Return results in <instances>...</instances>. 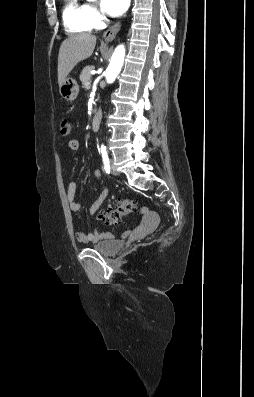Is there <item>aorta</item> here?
I'll return each instance as SVG.
<instances>
[{"label":"aorta","instance_id":"obj_1","mask_svg":"<svg viewBox=\"0 0 254 397\" xmlns=\"http://www.w3.org/2000/svg\"><path fill=\"white\" fill-rule=\"evenodd\" d=\"M88 1H95V0H88ZM125 57V48L123 45H119L111 58L110 64L106 70V80L108 83L113 82L117 75L119 74Z\"/></svg>","mask_w":254,"mask_h":397}]
</instances>
